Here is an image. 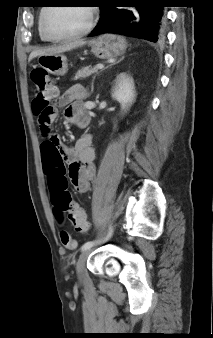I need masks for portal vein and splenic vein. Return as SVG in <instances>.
I'll return each mask as SVG.
<instances>
[{"instance_id": "18ae733b", "label": "portal vein and splenic vein", "mask_w": 213, "mask_h": 338, "mask_svg": "<svg viewBox=\"0 0 213 338\" xmlns=\"http://www.w3.org/2000/svg\"><path fill=\"white\" fill-rule=\"evenodd\" d=\"M96 69H103L104 68V65L103 64H97L95 66Z\"/></svg>"}]
</instances>
